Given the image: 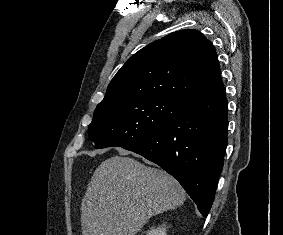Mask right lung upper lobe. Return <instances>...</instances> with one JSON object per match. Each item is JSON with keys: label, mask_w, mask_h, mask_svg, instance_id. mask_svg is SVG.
Returning a JSON list of instances; mask_svg holds the SVG:
<instances>
[{"label": "right lung upper lobe", "mask_w": 283, "mask_h": 235, "mask_svg": "<svg viewBox=\"0 0 283 235\" xmlns=\"http://www.w3.org/2000/svg\"><path fill=\"white\" fill-rule=\"evenodd\" d=\"M221 85L213 44L197 30H180L130 57L98 105L132 97H168L183 102Z\"/></svg>", "instance_id": "obj_1"}]
</instances>
